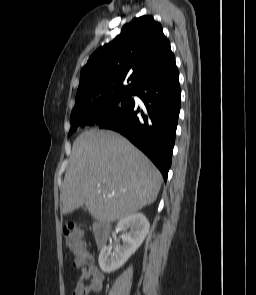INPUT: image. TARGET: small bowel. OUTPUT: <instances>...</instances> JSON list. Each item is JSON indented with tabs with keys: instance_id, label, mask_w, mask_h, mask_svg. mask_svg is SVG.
Wrapping results in <instances>:
<instances>
[{
	"instance_id": "small-bowel-1",
	"label": "small bowel",
	"mask_w": 256,
	"mask_h": 295,
	"mask_svg": "<svg viewBox=\"0 0 256 295\" xmlns=\"http://www.w3.org/2000/svg\"><path fill=\"white\" fill-rule=\"evenodd\" d=\"M89 281V284H85ZM104 274L94 264L90 263L81 269L80 277L76 284L73 295H89L90 293H101L103 290Z\"/></svg>"
}]
</instances>
